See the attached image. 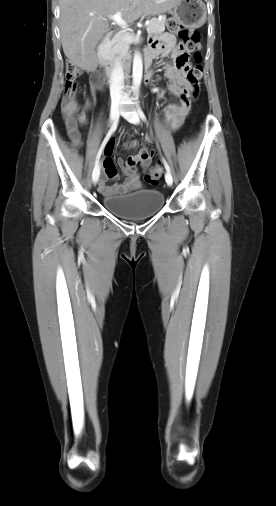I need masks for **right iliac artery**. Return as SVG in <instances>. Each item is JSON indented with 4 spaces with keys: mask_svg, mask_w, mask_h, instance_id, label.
Returning <instances> with one entry per match:
<instances>
[{
    "mask_svg": "<svg viewBox=\"0 0 276 506\" xmlns=\"http://www.w3.org/2000/svg\"><path fill=\"white\" fill-rule=\"evenodd\" d=\"M118 121L119 119H116V121H114V123L112 124L110 130L108 131L106 137L104 138L102 144H101V147L97 153V156H96V162H95V168H97L98 166V162H99V159L101 157V154L106 146V144L108 143L109 141V138L111 137V135L115 132L116 128H117V125H118ZM95 168L93 170V177H97V179L99 178V175H100V170L98 171V173H95Z\"/></svg>",
    "mask_w": 276,
    "mask_h": 506,
    "instance_id": "82829eb1",
    "label": "right iliac artery"
}]
</instances>
